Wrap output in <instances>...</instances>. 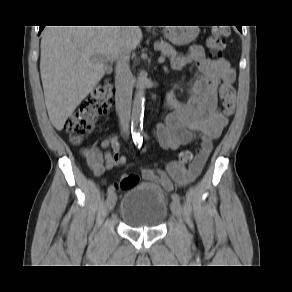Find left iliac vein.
Segmentation results:
<instances>
[{
    "label": "left iliac vein",
    "mask_w": 292,
    "mask_h": 292,
    "mask_svg": "<svg viewBox=\"0 0 292 292\" xmlns=\"http://www.w3.org/2000/svg\"><path fill=\"white\" fill-rule=\"evenodd\" d=\"M171 211L173 213V215L181 222L183 223V219H182V211H181V206L180 203H178L177 201H172L171 203Z\"/></svg>",
    "instance_id": "4c4485c4"
}]
</instances>
